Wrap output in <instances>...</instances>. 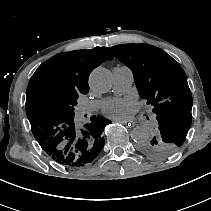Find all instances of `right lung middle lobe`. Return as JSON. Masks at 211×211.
Instances as JSON below:
<instances>
[{
    "instance_id": "right-lung-middle-lobe-1",
    "label": "right lung middle lobe",
    "mask_w": 211,
    "mask_h": 211,
    "mask_svg": "<svg viewBox=\"0 0 211 211\" xmlns=\"http://www.w3.org/2000/svg\"><path fill=\"white\" fill-rule=\"evenodd\" d=\"M77 96H64L51 99L44 110V117L49 120L56 121V125H60L64 121L74 119V107L77 105ZM55 129L56 127H52ZM65 143H61L59 148L62 149Z\"/></svg>"
}]
</instances>
